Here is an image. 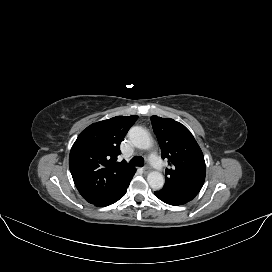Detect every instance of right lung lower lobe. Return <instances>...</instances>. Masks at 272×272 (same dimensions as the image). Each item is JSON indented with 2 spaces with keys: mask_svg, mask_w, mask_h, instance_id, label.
<instances>
[{
  "mask_svg": "<svg viewBox=\"0 0 272 272\" xmlns=\"http://www.w3.org/2000/svg\"><path fill=\"white\" fill-rule=\"evenodd\" d=\"M133 175H131L129 178H127L126 182L123 185H121L116 191H114L110 195L106 196L105 198L101 199L100 201L94 203V205L98 206V207H104V206L111 205V204L115 203L116 201H118L120 198H122L127 191V188L130 184V181H131Z\"/></svg>",
  "mask_w": 272,
  "mask_h": 272,
  "instance_id": "1",
  "label": "right lung lower lobe"
}]
</instances>
